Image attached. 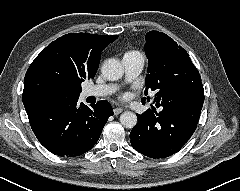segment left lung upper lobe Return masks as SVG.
Segmentation results:
<instances>
[{
    "instance_id": "left-lung-upper-lobe-1",
    "label": "left lung upper lobe",
    "mask_w": 240,
    "mask_h": 191,
    "mask_svg": "<svg viewBox=\"0 0 240 191\" xmlns=\"http://www.w3.org/2000/svg\"><path fill=\"white\" fill-rule=\"evenodd\" d=\"M144 50L149 62L145 95L155 92L156 107L187 94L192 86H202L200 74L187 52L168 35L148 32Z\"/></svg>"
}]
</instances>
